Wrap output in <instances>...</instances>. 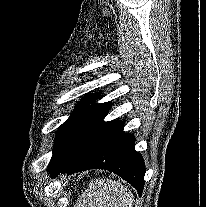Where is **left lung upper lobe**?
Returning a JSON list of instances; mask_svg holds the SVG:
<instances>
[{"label":"left lung upper lobe","mask_w":206,"mask_h":207,"mask_svg":"<svg viewBox=\"0 0 206 207\" xmlns=\"http://www.w3.org/2000/svg\"><path fill=\"white\" fill-rule=\"evenodd\" d=\"M97 98L98 94H90L82 99L71 117L58 128L49 171L79 149L96 122L110 109L111 103L97 104Z\"/></svg>","instance_id":"5c2ea615"}]
</instances>
